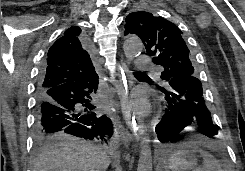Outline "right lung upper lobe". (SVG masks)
Segmentation results:
<instances>
[{
    "instance_id": "right-lung-upper-lobe-1",
    "label": "right lung upper lobe",
    "mask_w": 245,
    "mask_h": 171,
    "mask_svg": "<svg viewBox=\"0 0 245 171\" xmlns=\"http://www.w3.org/2000/svg\"><path fill=\"white\" fill-rule=\"evenodd\" d=\"M97 76L81 29L73 26L50 47L38 88L47 89Z\"/></svg>"
}]
</instances>
